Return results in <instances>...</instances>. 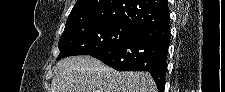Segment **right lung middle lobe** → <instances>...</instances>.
<instances>
[{"label": "right lung middle lobe", "instance_id": "1", "mask_svg": "<svg viewBox=\"0 0 225 92\" xmlns=\"http://www.w3.org/2000/svg\"><path fill=\"white\" fill-rule=\"evenodd\" d=\"M138 32L137 28L120 22L85 23L64 29L57 60L75 55L92 56L134 38Z\"/></svg>", "mask_w": 225, "mask_h": 92}]
</instances>
